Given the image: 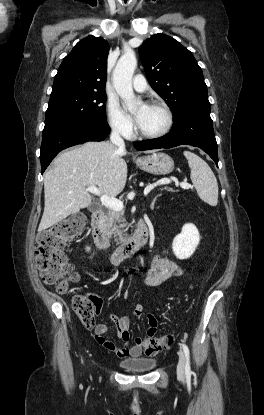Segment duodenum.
Segmentation results:
<instances>
[{"label": "duodenum", "instance_id": "duodenum-1", "mask_svg": "<svg viewBox=\"0 0 264 415\" xmlns=\"http://www.w3.org/2000/svg\"><path fill=\"white\" fill-rule=\"evenodd\" d=\"M92 229L97 248L108 254L112 266H119L127 261L137 250L146 245L150 239V232L146 222L140 220L136 233L124 239L119 246L111 250L110 242L105 231V212L102 207L92 213Z\"/></svg>", "mask_w": 264, "mask_h": 415}]
</instances>
